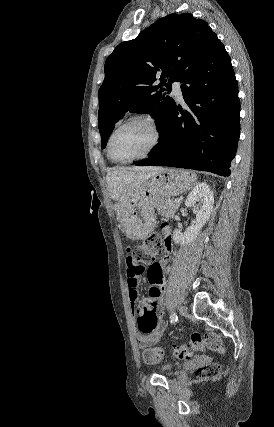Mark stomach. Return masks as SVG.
<instances>
[{"instance_id":"1","label":"stomach","mask_w":274,"mask_h":427,"mask_svg":"<svg viewBox=\"0 0 274 427\" xmlns=\"http://www.w3.org/2000/svg\"><path fill=\"white\" fill-rule=\"evenodd\" d=\"M196 184V174L164 168L151 178H143L129 202H117L116 214L127 237L146 239L156 223L154 208L162 198L180 196Z\"/></svg>"}]
</instances>
